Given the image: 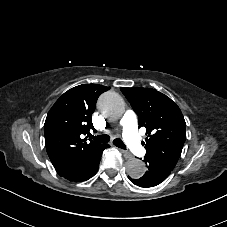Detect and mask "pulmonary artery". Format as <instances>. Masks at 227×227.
<instances>
[{
  "label": "pulmonary artery",
  "instance_id": "pulmonary-artery-1",
  "mask_svg": "<svg viewBox=\"0 0 227 227\" xmlns=\"http://www.w3.org/2000/svg\"><path fill=\"white\" fill-rule=\"evenodd\" d=\"M137 114L134 110L128 109L120 124L124 128L122 137L125 140L126 147L133 154H140L143 151V144L139 141V135L137 131Z\"/></svg>",
  "mask_w": 227,
  "mask_h": 227
}]
</instances>
